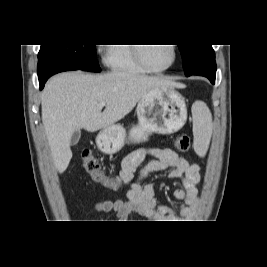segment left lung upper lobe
<instances>
[{
    "instance_id": "1",
    "label": "left lung upper lobe",
    "mask_w": 267,
    "mask_h": 267,
    "mask_svg": "<svg viewBox=\"0 0 267 267\" xmlns=\"http://www.w3.org/2000/svg\"><path fill=\"white\" fill-rule=\"evenodd\" d=\"M185 75L189 76L200 65L215 60L211 45H179Z\"/></svg>"
}]
</instances>
